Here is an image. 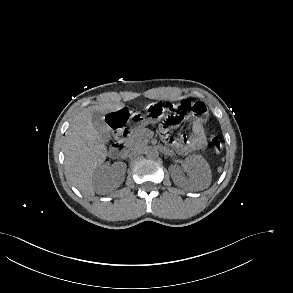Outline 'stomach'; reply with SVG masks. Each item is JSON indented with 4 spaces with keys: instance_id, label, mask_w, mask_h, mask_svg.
Listing matches in <instances>:
<instances>
[{
    "instance_id": "1",
    "label": "stomach",
    "mask_w": 293,
    "mask_h": 293,
    "mask_svg": "<svg viewBox=\"0 0 293 293\" xmlns=\"http://www.w3.org/2000/svg\"><path fill=\"white\" fill-rule=\"evenodd\" d=\"M165 107L159 102H152L145 108V113L135 112L130 116V124L133 128H141L148 124L159 122L165 115Z\"/></svg>"
}]
</instances>
